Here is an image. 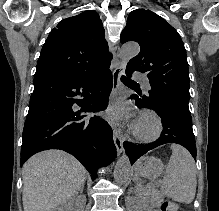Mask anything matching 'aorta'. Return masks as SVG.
I'll return each instance as SVG.
<instances>
[{
    "label": "aorta",
    "mask_w": 219,
    "mask_h": 211,
    "mask_svg": "<svg viewBox=\"0 0 219 211\" xmlns=\"http://www.w3.org/2000/svg\"><path fill=\"white\" fill-rule=\"evenodd\" d=\"M140 51V47L137 43L130 42L124 44L120 49V57L124 61H129L135 57ZM131 178V164L128 156L123 154L117 161L114 168V179L120 184L129 183Z\"/></svg>",
    "instance_id": "aorta-1"
}]
</instances>
